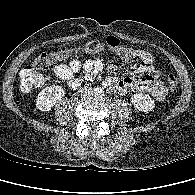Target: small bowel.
<instances>
[{
    "instance_id": "c3829d8e",
    "label": "small bowel",
    "mask_w": 195,
    "mask_h": 195,
    "mask_svg": "<svg viewBox=\"0 0 195 195\" xmlns=\"http://www.w3.org/2000/svg\"><path fill=\"white\" fill-rule=\"evenodd\" d=\"M136 57L140 64L133 71V75L122 78L107 77L104 81L106 89L111 93L126 95L131 92H146L156 100L162 101L166 96V86L159 80L161 72L155 69L154 56L145 50L136 49ZM120 65L110 62L107 70L116 72ZM103 69V62L98 58H88L84 61L73 59L68 64L54 67L55 75L63 80L68 87L78 88L83 81H92Z\"/></svg>"
}]
</instances>
